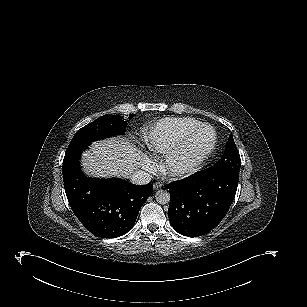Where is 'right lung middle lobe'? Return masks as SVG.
<instances>
[{
  "label": "right lung middle lobe",
  "mask_w": 307,
  "mask_h": 307,
  "mask_svg": "<svg viewBox=\"0 0 307 307\" xmlns=\"http://www.w3.org/2000/svg\"><path fill=\"white\" fill-rule=\"evenodd\" d=\"M134 114L130 115L132 118ZM127 123L122 116L104 115L79 129L72 138L66 153L83 151L94 141L124 134Z\"/></svg>",
  "instance_id": "dd1d6c3e"
}]
</instances>
